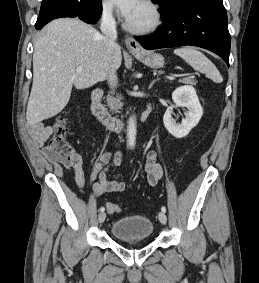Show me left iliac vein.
Instances as JSON below:
<instances>
[{
	"mask_svg": "<svg viewBox=\"0 0 259 283\" xmlns=\"http://www.w3.org/2000/svg\"><path fill=\"white\" fill-rule=\"evenodd\" d=\"M158 218H159V221L162 223V224H166V222H167V217H166V215H165V213L164 212H159V214H158Z\"/></svg>",
	"mask_w": 259,
	"mask_h": 283,
	"instance_id": "obj_1",
	"label": "left iliac vein"
}]
</instances>
